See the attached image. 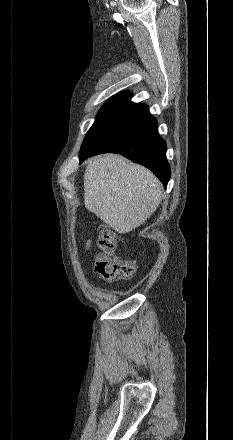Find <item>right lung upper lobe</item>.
Wrapping results in <instances>:
<instances>
[{
  "label": "right lung upper lobe",
  "mask_w": 233,
  "mask_h": 440,
  "mask_svg": "<svg viewBox=\"0 0 233 440\" xmlns=\"http://www.w3.org/2000/svg\"><path fill=\"white\" fill-rule=\"evenodd\" d=\"M132 97V93L129 92H122L118 93L115 96H113L107 103L111 104H119V105H127L131 103L130 99Z\"/></svg>",
  "instance_id": "obj_1"
}]
</instances>
